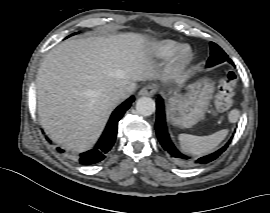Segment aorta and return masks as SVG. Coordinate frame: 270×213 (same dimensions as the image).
<instances>
[{"mask_svg":"<svg viewBox=\"0 0 270 213\" xmlns=\"http://www.w3.org/2000/svg\"><path fill=\"white\" fill-rule=\"evenodd\" d=\"M155 101L150 97H141L136 102V110L142 116H150L155 112Z\"/></svg>","mask_w":270,"mask_h":213,"instance_id":"762f6f07","label":"aorta"}]
</instances>
